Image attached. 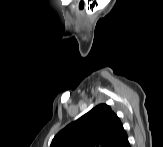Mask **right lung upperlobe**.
<instances>
[{
  "mask_svg": "<svg viewBox=\"0 0 163 147\" xmlns=\"http://www.w3.org/2000/svg\"><path fill=\"white\" fill-rule=\"evenodd\" d=\"M124 135L118 116L100 104L56 134L50 147H113Z\"/></svg>",
  "mask_w": 163,
  "mask_h": 147,
  "instance_id": "obj_1",
  "label": "right lung upper lobe"
}]
</instances>
